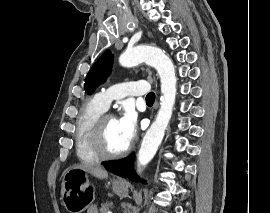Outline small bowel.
I'll return each instance as SVG.
<instances>
[{
  "instance_id": "small-bowel-1",
  "label": "small bowel",
  "mask_w": 270,
  "mask_h": 213,
  "mask_svg": "<svg viewBox=\"0 0 270 213\" xmlns=\"http://www.w3.org/2000/svg\"><path fill=\"white\" fill-rule=\"evenodd\" d=\"M87 213H98L96 205L90 206L89 209L87 210Z\"/></svg>"
}]
</instances>
